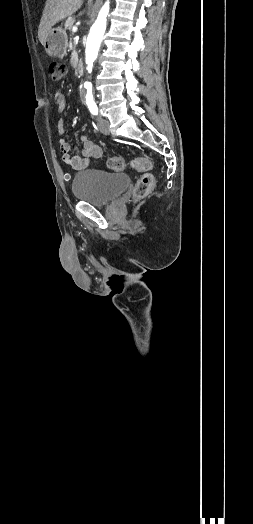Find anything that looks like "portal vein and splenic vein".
<instances>
[{
    "mask_svg": "<svg viewBox=\"0 0 253 524\" xmlns=\"http://www.w3.org/2000/svg\"><path fill=\"white\" fill-rule=\"evenodd\" d=\"M72 30H73L74 32H76V31H77V27H73Z\"/></svg>",
    "mask_w": 253,
    "mask_h": 524,
    "instance_id": "1",
    "label": "portal vein and splenic vein"
}]
</instances>
